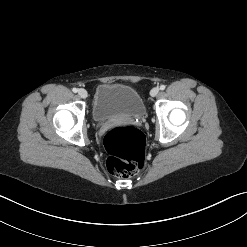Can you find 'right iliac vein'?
Listing matches in <instances>:
<instances>
[{"label":"right iliac vein","instance_id":"63e3f726","mask_svg":"<svg viewBox=\"0 0 247 247\" xmlns=\"http://www.w3.org/2000/svg\"><path fill=\"white\" fill-rule=\"evenodd\" d=\"M78 95L81 97V98H86L88 93L85 89L81 88L78 90Z\"/></svg>","mask_w":247,"mask_h":247}]
</instances>
